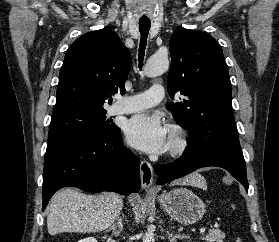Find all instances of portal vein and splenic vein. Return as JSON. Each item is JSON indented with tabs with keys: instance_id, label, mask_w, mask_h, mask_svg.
Returning a JSON list of instances; mask_svg holds the SVG:
<instances>
[{
	"instance_id": "1",
	"label": "portal vein and splenic vein",
	"mask_w": 279,
	"mask_h": 242,
	"mask_svg": "<svg viewBox=\"0 0 279 242\" xmlns=\"http://www.w3.org/2000/svg\"><path fill=\"white\" fill-rule=\"evenodd\" d=\"M205 233V228L200 229V234L203 235Z\"/></svg>"
}]
</instances>
